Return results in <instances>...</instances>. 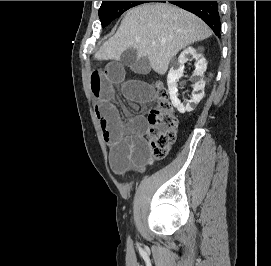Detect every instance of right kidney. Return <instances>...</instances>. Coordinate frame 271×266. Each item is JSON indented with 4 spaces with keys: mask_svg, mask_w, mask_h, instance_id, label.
Wrapping results in <instances>:
<instances>
[{
    "mask_svg": "<svg viewBox=\"0 0 271 266\" xmlns=\"http://www.w3.org/2000/svg\"><path fill=\"white\" fill-rule=\"evenodd\" d=\"M191 59L196 60V66L193 72V79L195 81V84L193 85L191 99L187 100L186 105H184L183 103H181L177 95V82L179 78L183 76L184 63ZM178 64V68L174 66L170 69L167 76V85L173 106L176 107L180 113H185L193 111L195 105H197L204 96L205 81L203 80V74L206 71L207 63L206 59L203 57L202 54L197 53L196 49L188 47L184 49L183 52L180 54L178 58Z\"/></svg>",
    "mask_w": 271,
    "mask_h": 266,
    "instance_id": "obj_1",
    "label": "right kidney"
}]
</instances>
